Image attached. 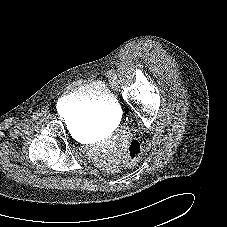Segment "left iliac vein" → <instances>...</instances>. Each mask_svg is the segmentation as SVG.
I'll use <instances>...</instances> for the list:
<instances>
[{
	"instance_id": "obj_1",
	"label": "left iliac vein",
	"mask_w": 227,
	"mask_h": 227,
	"mask_svg": "<svg viewBox=\"0 0 227 227\" xmlns=\"http://www.w3.org/2000/svg\"><path fill=\"white\" fill-rule=\"evenodd\" d=\"M111 85H112L113 87H117V82H116L115 80H112V81H111Z\"/></svg>"
}]
</instances>
